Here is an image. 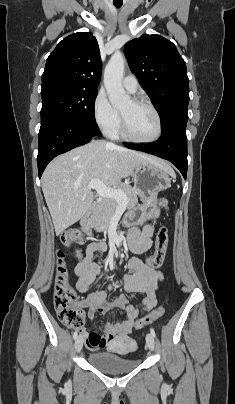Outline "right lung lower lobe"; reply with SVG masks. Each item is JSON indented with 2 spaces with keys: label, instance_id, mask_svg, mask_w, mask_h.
<instances>
[{
  "label": "right lung lower lobe",
  "instance_id": "obj_1",
  "mask_svg": "<svg viewBox=\"0 0 235 404\" xmlns=\"http://www.w3.org/2000/svg\"><path fill=\"white\" fill-rule=\"evenodd\" d=\"M97 135H101L97 125L63 119L41 123L37 158L39 177L54 157L88 143Z\"/></svg>",
  "mask_w": 235,
  "mask_h": 404
}]
</instances>
